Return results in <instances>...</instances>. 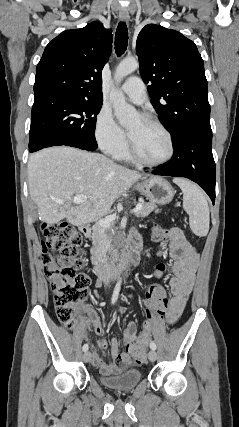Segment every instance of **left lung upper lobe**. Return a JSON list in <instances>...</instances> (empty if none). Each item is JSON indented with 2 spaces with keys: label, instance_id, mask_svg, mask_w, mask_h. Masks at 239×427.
Listing matches in <instances>:
<instances>
[{
  "label": "left lung upper lobe",
  "instance_id": "left-lung-upper-lobe-1",
  "mask_svg": "<svg viewBox=\"0 0 239 427\" xmlns=\"http://www.w3.org/2000/svg\"><path fill=\"white\" fill-rule=\"evenodd\" d=\"M136 53L151 103L175 144L186 132L211 131L208 84L195 43L155 24L139 33Z\"/></svg>",
  "mask_w": 239,
  "mask_h": 427
}]
</instances>
